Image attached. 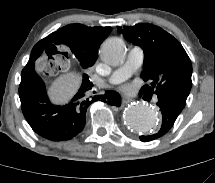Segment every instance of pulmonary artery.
Here are the masks:
<instances>
[{"label":"pulmonary artery","instance_id":"1","mask_svg":"<svg viewBox=\"0 0 215 183\" xmlns=\"http://www.w3.org/2000/svg\"><path fill=\"white\" fill-rule=\"evenodd\" d=\"M144 52L139 46H134L129 51L126 62L110 76V82L120 83L128 79L143 63Z\"/></svg>","mask_w":215,"mask_h":183}]
</instances>
